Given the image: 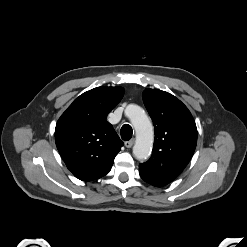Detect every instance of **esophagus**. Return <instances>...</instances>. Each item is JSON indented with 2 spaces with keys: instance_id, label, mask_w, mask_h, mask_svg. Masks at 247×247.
I'll list each match as a JSON object with an SVG mask.
<instances>
[{
  "instance_id": "34e87169",
  "label": "esophagus",
  "mask_w": 247,
  "mask_h": 247,
  "mask_svg": "<svg viewBox=\"0 0 247 247\" xmlns=\"http://www.w3.org/2000/svg\"><path fill=\"white\" fill-rule=\"evenodd\" d=\"M133 144H134V139H131V140L125 142V146L127 148H131L133 146Z\"/></svg>"
}]
</instances>
